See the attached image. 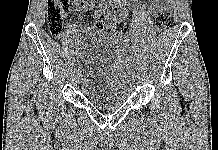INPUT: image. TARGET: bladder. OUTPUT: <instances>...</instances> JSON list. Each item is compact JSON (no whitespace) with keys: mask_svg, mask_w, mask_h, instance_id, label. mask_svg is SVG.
<instances>
[{"mask_svg":"<svg viewBox=\"0 0 218 150\" xmlns=\"http://www.w3.org/2000/svg\"><path fill=\"white\" fill-rule=\"evenodd\" d=\"M119 43L104 35H91L84 49V67L79 71L83 95L102 109L125 104L132 91L133 79L124 65Z\"/></svg>","mask_w":218,"mask_h":150,"instance_id":"obj_1","label":"bladder"}]
</instances>
